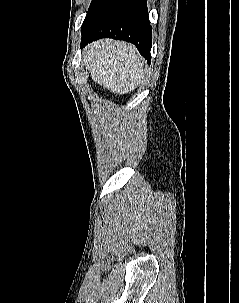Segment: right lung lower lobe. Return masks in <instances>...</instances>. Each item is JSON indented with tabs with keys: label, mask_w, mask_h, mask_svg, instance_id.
<instances>
[{
	"label": "right lung lower lobe",
	"mask_w": 239,
	"mask_h": 303,
	"mask_svg": "<svg viewBox=\"0 0 239 303\" xmlns=\"http://www.w3.org/2000/svg\"><path fill=\"white\" fill-rule=\"evenodd\" d=\"M151 32L146 0H108L82 30L81 47L106 37L125 40L133 43L150 63Z\"/></svg>",
	"instance_id": "right-lung-lower-lobe-1"
}]
</instances>
